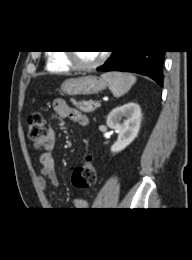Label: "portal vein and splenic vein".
Masks as SVG:
<instances>
[{"label": "portal vein and splenic vein", "mask_w": 192, "mask_h": 260, "mask_svg": "<svg viewBox=\"0 0 192 260\" xmlns=\"http://www.w3.org/2000/svg\"><path fill=\"white\" fill-rule=\"evenodd\" d=\"M94 106H95V107H100V106H101V103H100V102H95V103H94Z\"/></svg>", "instance_id": "portal-vein-and-splenic-vein-1"}]
</instances>
